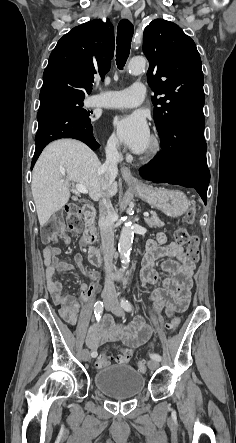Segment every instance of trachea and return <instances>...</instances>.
<instances>
[{
    "label": "trachea",
    "mask_w": 236,
    "mask_h": 443,
    "mask_svg": "<svg viewBox=\"0 0 236 443\" xmlns=\"http://www.w3.org/2000/svg\"><path fill=\"white\" fill-rule=\"evenodd\" d=\"M133 32L134 27L129 20L123 19L119 22L117 28L116 63L121 70L129 57Z\"/></svg>",
    "instance_id": "3493384b"
}]
</instances>
